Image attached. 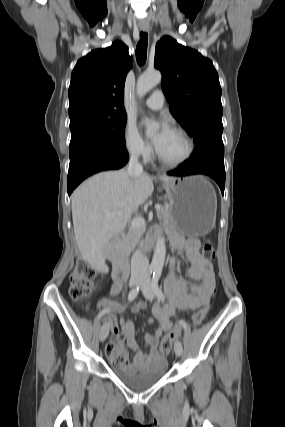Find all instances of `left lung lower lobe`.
Masks as SVG:
<instances>
[{"label":"left lung lower lobe","mask_w":285,"mask_h":427,"mask_svg":"<svg viewBox=\"0 0 285 427\" xmlns=\"http://www.w3.org/2000/svg\"><path fill=\"white\" fill-rule=\"evenodd\" d=\"M205 174L212 177L224 193L225 168L224 145L222 141H206L196 146L191 158L183 162L176 170L169 171L168 175L186 176Z\"/></svg>","instance_id":"1"}]
</instances>
